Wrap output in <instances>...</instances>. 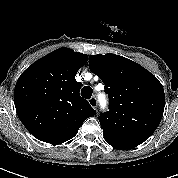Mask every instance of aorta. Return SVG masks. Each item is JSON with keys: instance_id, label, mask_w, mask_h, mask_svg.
Segmentation results:
<instances>
[{"instance_id": "obj_1", "label": "aorta", "mask_w": 178, "mask_h": 178, "mask_svg": "<svg viewBox=\"0 0 178 178\" xmlns=\"http://www.w3.org/2000/svg\"><path fill=\"white\" fill-rule=\"evenodd\" d=\"M99 101L102 107H105L106 105V98L103 94L99 95Z\"/></svg>"}]
</instances>
